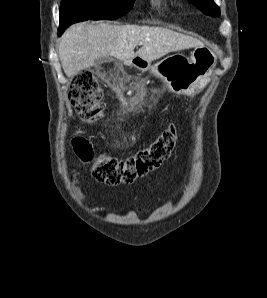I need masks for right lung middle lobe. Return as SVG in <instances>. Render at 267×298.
I'll return each instance as SVG.
<instances>
[{
  "label": "right lung middle lobe",
  "instance_id": "dd1d6c3e",
  "mask_svg": "<svg viewBox=\"0 0 267 298\" xmlns=\"http://www.w3.org/2000/svg\"><path fill=\"white\" fill-rule=\"evenodd\" d=\"M135 0H62L60 27L84 20H113L125 15Z\"/></svg>",
  "mask_w": 267,
  "mask_h": 298
}]
</instances>
